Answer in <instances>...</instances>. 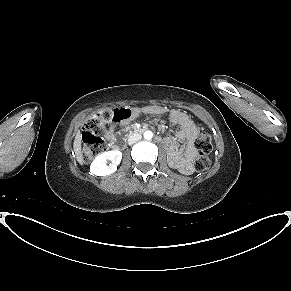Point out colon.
I'll return each mask as SVG.
<instances>
[{
	"label": "colon",
	"instance_id": "colon-1",
	"mask_svg": "<svg viewBox=\"0 0 291 291\" xmlns=\"http://www.w3.org/2000/svg\"><path fill=\"white\" fill-rule=\"evenodd\" d=\"M131 110L128 108H118L106 110L95 114L84 127L82 134L83 151L82 157L85 163L91 162L96 156L106 150L101 134L107 129L111 122L129 118ZM199 150L194 166L197 171H204L210 167L211 161L209 153L212 151L211 136L202 130L196 141Z\"/></svg>",
	"mask_w": 291,
	"mask_h": 291
}]
</instances>
